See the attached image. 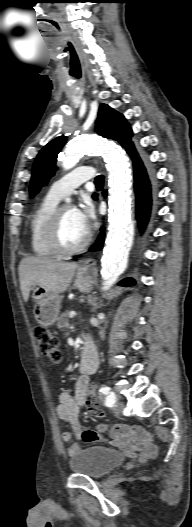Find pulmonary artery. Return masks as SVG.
<instances>
[{"mask_svg":"<svg viewBox=\"0 0 192 527\" xmlns=\"http://www.w3.org/2000/svg\"><path fill=\"white\" fill-rule=\"evenodd\" d=\"M95 176V170L90 166H81L55 181L48 192V195L62 199L73 192L85 181Z\"/></svg>","mask_w":192,"mask_h":527,"instance_id":"obj_1","label":"pulmonary artery"}]
</instances>
